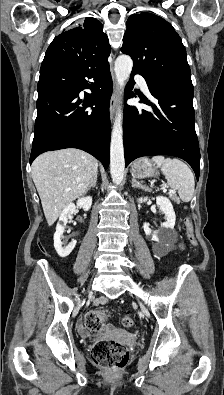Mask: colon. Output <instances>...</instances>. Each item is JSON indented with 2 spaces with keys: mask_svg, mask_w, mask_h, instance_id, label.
Segmentation results:
<instances>
[{
  "mask_svg": "<svg viewBox=\"0 0 224 395\" xmlns=\"http://www.w3.org/2000/svg\"><path fill=\"white\" fill-rule=\"evenodd\" d=\"M186 236L189 242L196 246L193 228L189 220L185 221ZM109 318V314L104 309L91 310L85 317V326L92 332H98L104 328ZM122 324L125 327L133 328L135 322L128 316L122 317ZM92 357L96 364L111 370H118L125 367L129 359V349L126 345L116 341L100 340L92 347Z\"/></svg>",
  "mask_w": 224,
  "mask_h": 395,
  "instance_id": "1",
  "label": "colon"
}]
</instances>
